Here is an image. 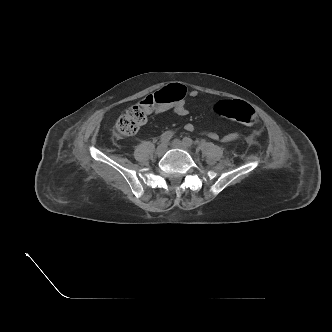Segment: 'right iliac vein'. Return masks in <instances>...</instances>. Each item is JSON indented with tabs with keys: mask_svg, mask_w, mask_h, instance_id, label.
<instances>
[{
	"mask_svg": "<svg viewBox=\"0 0 332 332\" xmlns=\"http://www.w3.org/2000/svg\"><path fill=\"white\" fill-rule=\"evenodd\" d=\"M166 150H167V144L166 143H161L156 148V155L162 156V155H164V153L166 152Z\"/></svg>",
	"mask_w": 332,
	"mask_h": 332,
	"instance_id": "63e3f726",
	"label": "right iliac vein"
}]
</instances>
